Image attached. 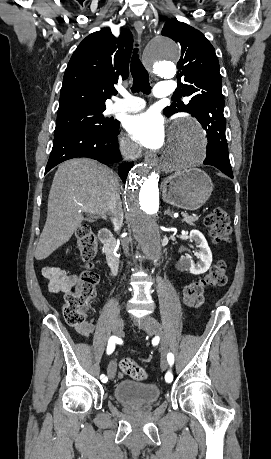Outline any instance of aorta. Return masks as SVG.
Segmentation results:
<instances>
[{"instance_id":"762f6f07","label":"aorta","mask_w":271,"mask_h":459,"mask_svg":"<svg viewBox=\"0 0 271 459\" xmlns=\"http://www.w3.org/2000/svg\"><path fill=\"white\" fill-rule=\"evenodd\" d=\"M179 48L169 38L158 37L146 50V61L155 74L170 78L175 73L173 61ZM205 137L191 120H181L171 131L164 164L170 171L183 173L202 164L205 158ZM159 174L147 163L136 165L126 183L127 217L134 238L146 256L157 261L161 257V238L157 225L159 209Z\"/></svg>"}]
</instances>
